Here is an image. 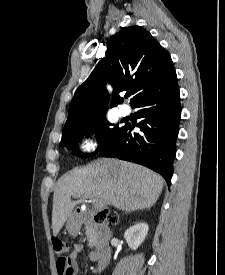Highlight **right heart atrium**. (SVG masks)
I'll return each instance as SVG.
<instances>
[{
  "label": "right heart atrium",
  "instance_id": "d8ad5b80",
  "mask_svg": "<svg viewBox=\"0 0 225 275\" xmlns=\"http://www.w3.org/2000/svg\"><path fill=\"white\" fill-rule=\"evenodd\" d=\"M81 149L85 152H90L96 147V141L92 138H85L81 141Z\"/></svg>",
  "mask_w": 225,
  "mask_h": 275
}]
</instances>
